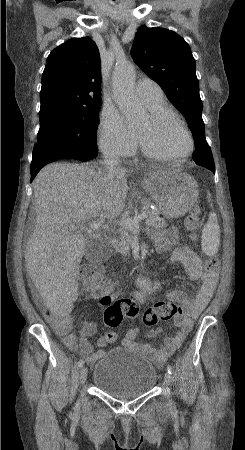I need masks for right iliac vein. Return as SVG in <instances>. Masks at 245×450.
I'll list each match as a JSON object with an SVG mask.
<instances>
[{
	"label": "right iliac vein",
	"mask_w": 245,
	"mask_h": 450,
	"mask_svg": "<svg viewBox=\"0 0 245 450\" xmlns=\"http://www.w3.org/2000/svg\"><path fill=\"white\" fill-rule=\"evenodd\" d=\"M87 374H88L87 368L86 367H82L81 370H80V378H79L81 384H84L86 382Z\"/></svg>",
	"instance_id": "right-iliac-vein-1"
}]
</instances>
